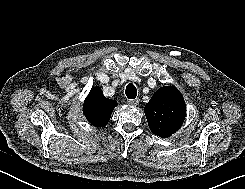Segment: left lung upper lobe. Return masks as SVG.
Returning a JSON list of instances; mask_svg holds the SVG:
<instances>
[{"label": "left lung upper lobe", "mask_w": 245, "mask_h": 189, "mask_svg": "<svg viewBox=\"0 0 245 189\" xmlns=\"http://www.w3.org/2000/svg\"><path fill=\"white\" fill-rule=\"evenodd\" d=\"M144 110L150 130L163 138L174 134L186 116L185 101L174 86L159 88L145 105Z\"/></svg>", "instance_id": "obj_1"}]
</instances>
